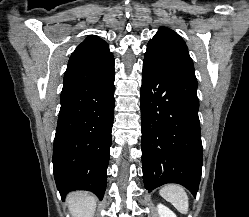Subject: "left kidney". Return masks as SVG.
Masks as SVG:
<instances>
[{
	"label": "left kidney",
	"mask_w": 249,
	"mask_h": 217,
	"mask_svg": "<svg viewBox=\"0 0 249 217\" xmlns=\"http://www.w3.org/2000/svg\"><path fill=\"white\" fill-rule=\"evenodd\" d=\"M157 208L160 217H177L172 210L163 204H158Z\"/></svg>",
	"instance_id": "5707ae66"
}]
</instances>
